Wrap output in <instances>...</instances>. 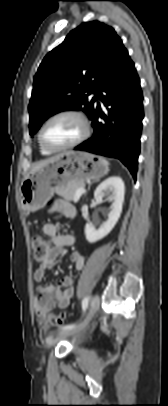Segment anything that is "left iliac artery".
<instances>
[{"label": "left iliac artery", "instance_id": "obj_1", "mask_svg": "<svg viewBox=\"0 0 168 406\" xmlns=\"http://www.w3.org/2000/svg\"><path fill=\"white\" fill-rule=\"evenodd\" d=\"M88 302H89V297H86L82 301V309L85 311L88 307ZM75 327V324H68L62 327V329L67 330V329H72Z\"/></svg>", "mask_w": 168, "mask_h": 406}]
</instances>
